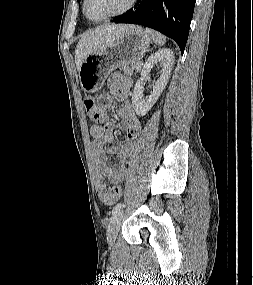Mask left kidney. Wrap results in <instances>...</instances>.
Wrapping results in <instances>:
<instances>
[{
	"instance_id": "5707ae66",
	"label": "left kidney",
	"mask_w": 253,
	"mask_h": 285,
	"mask_svg": "<svg viewBox=\"0 0 253 285\" xmlns=\"http://www.w3.org/2000/svg\"><path fill=\"white\" fill-rule=\"evenodd\" d=\"M156 64H160L162 66L161 75L153 86V92L148 98L144 99V79L149 76L151 69ZM173 64L174 53L171 49L167 48L158 50L147 59L141 71V78L137 80L132 95V105L138 116L146 115L156 103L169 81Z\"/></svg>"
}]
</instances>
